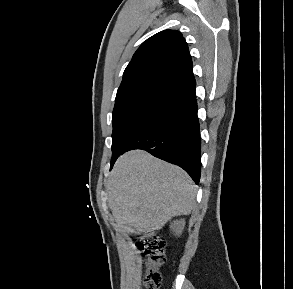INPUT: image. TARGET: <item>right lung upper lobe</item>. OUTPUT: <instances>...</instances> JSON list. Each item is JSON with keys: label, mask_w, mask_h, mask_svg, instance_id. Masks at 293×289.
<instances>
[{"label": "right lung upper lobe", "mask_w": 293, "mask_h": 289, "mask_svg": "<svg viewBox=\"0 0 293 289\" xmlns=\"http://www.w3.org/2000/svg\"><path fill=\"white\" fill-rule=\"evenodd\" d=\"M187 43L176 30L147 39L126 67L115 104L131 97L153 96L176 106L196 97Z\"/></svg>", "instance_id": "obj_1"}]
</instances>
